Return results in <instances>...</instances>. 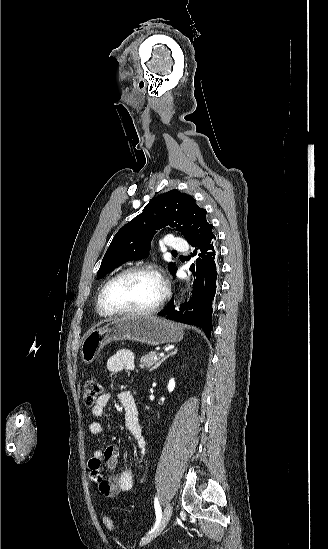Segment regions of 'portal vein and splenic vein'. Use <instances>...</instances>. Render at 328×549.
<instances>
[{"instance_id": "18ae733b", "label": "portal vein and splenic vein", "mask_w": 328, "mask_h": 549, "mask_svg": "<svg viewBox=\"0 0 328 549\" xmlns=\"http://www.w3.org/2000/svg\"><path fill=\"white\" fill-rule=\"evenodd\" d=\"M160 357H164V353H160Z\"/></svg>"}]
</instances>
